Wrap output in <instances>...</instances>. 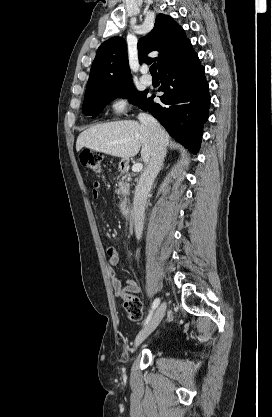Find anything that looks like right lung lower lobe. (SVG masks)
<instances>
[{"instance_id": "1", "label": "right lung lower lobe", "mask_w": 272, "mask_h": 417, "mask_svg": "<svg viewBox=\"0 0 272 417\" xmlns=\"http://www.w3.org/2000/svg\"><path fill=\"white\" fill-rule=\"evenodd\" d=\"M162 103L146 98L140 106L149 111L176 141L197 153L203 124L209 116L210 94L204 67L189 42L160 69Z\"/></svg>"}]
</instances>
